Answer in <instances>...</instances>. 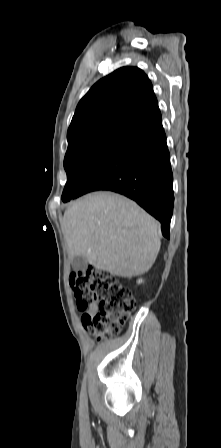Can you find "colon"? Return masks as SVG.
<instances>
[{
  "mask_svg": "<svg viewBox=\"0 0 221 448\" xmlns=\"http://www.w3.org/2000/svg\"><path fill=\"white\" fill-rule=\"evenodd\" d=\"M70 287L84 329L106 338L121 330L134 308L130 289L107 271L89 267L70 276ZM92 306L95 311H90Z\"/></svg>",
  "mask_w": 221,
  "mask_h": 448,
  "instance_id": "1",
  "label": "colon"
}]
</instances>
